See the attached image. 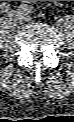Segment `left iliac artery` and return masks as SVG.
I'll return each mask as SVG.
<instances>
[{
    "label": "left iliac artery",
    "mask_w": 74,
    "mask_h": 122,
    "mask_svg": "<svg viewBox=\"0 0 74 122\" xmlns=\"http://www.w3.org/2000/svg\"><path fill=\"white\" fill-rule=\"evenodd\" d=\"M22 8L23 12H25L26 14H32L34 13L35 9L32 6L29 5H22L20 7V9ZM19 9V10H20Z\"/></svg>",
    "instance_id": "1"
}]
</instances>
